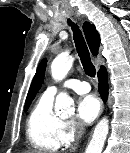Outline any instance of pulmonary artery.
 I'll return each instance as SVG.
<instances>
[{
  "label": "pulmonary artery",
  "instance_id": "obj_1",
  "mask_svg": "<svg viewBox=\"0 0 130 153\" xmlns=\"http://www.w3.org/2000/svg\"><path fill=\"white\" fill-rule=\"evenodd\" d=\"M63 88L71 89L77 93L83 94L90 91V85L87 82L79 81L76 79H69L65 81L62 85ZM59 88L55 85L49 86L46 90L51 95H55Z\"/></svg>",
  "mask_w": 130,
  "mask_h": 153
}]
</instances>
